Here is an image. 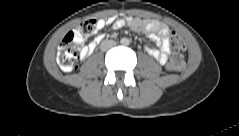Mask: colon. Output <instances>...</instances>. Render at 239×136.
<instances>
[{
  "label": "colon",
  "mask_w": 239,
  "mask_h": 136,
  "mask_svg": "<svg viewBox=\"0 0 239 136\" xmlns=\"http://www.w3.org/2000/svg\"><path fill=\"white\" fill-rule=\"evenodd\" d=\"M96 30L97 20L88 19L78 24L75 32H69L65 35L58 48V62L63 70H73L82 47V36L91 35ZM170 45L174 54L167 62V69L178 72L184 66L182 53L186 48L185 41L178 33L172 32Z\"/></svg>",
  "instance_id": "obj_1"
}]
</instances>
